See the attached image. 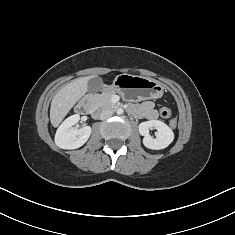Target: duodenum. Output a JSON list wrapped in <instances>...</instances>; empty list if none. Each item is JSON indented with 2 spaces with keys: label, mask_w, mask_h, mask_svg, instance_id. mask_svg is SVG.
<instances>
[{
  "label": "duodenum",
  "mask_w": 235,
  "mask_h": 235,
  "mask_svg": "<svg viewBox=\"0 0 235 235\" xmlns=\"http://www.w3.org/2000/svg\"><path fill=\"white\" fill-rule=\"evenodd\" d=\"M92 99L93 95L88 94L85 96L76 106L78 113H90L92 112ZM95 114V113H94Z\"/></svg>",
  "instance_id": "obj_1"
}]
</instances>
